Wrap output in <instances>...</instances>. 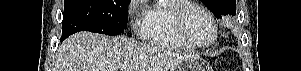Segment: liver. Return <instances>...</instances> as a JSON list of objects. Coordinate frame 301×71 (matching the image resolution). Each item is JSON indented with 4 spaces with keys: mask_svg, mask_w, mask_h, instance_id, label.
Segmentation results:
<instances>
[{
    "mask_svg": "<svg viewBox=\"0 0 301 71\" xmlns=\"http://www.w3.org/2000/svg\"><path fill=\"white\" fill-rule=\"evenodd\" d=\"M188 57L124 36L80 32L59 47L55 71H169Z\"/></svg>",
    "mask_w": 301,
    "mask_h": 71,
    "instance_id": "6515ba94",
    "label": "liver"
}]
</instances>
